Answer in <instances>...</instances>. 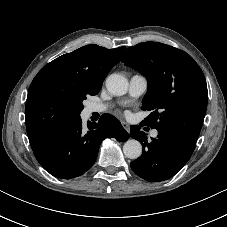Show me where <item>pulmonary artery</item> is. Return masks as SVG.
<instances>
[{
	"mask_svg": "<svg viewBox=\"0 0 227 227\" xmlns=\"http://www.w3.org/2000/svg\"><path fill=\"white\" fill-rule=\"evenodd\" d=\"M148 87L147 79L139 74L133 75L129 80L128 92L131 97H139L145 93ZM92 112H105L108 109L107 105L94 104L90 107ZM158 132L152 131V137H156Z\"/></svg>",
	"mask_w": 227,
	"mask_h": 227,
	"instance_id": "1",
	"label": "pulmonary artery"
}]
</instances>
